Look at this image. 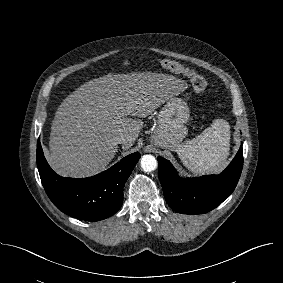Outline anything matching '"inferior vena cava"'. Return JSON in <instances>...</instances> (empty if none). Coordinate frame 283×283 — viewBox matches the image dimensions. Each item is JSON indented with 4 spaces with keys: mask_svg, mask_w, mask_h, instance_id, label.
<instances>
[{
    "mask_svg": "<svg viewBox=\"0 0 283 283\" xmlns=\"http://www.w3.org/2000/svg\"><path fill=\"white\" fill-rule=\"evenodd\" d=\"M115 142L117 144H124L126 142V138L125 136H118L115 138Z\"/></svg>",
    "mask_w": 283,
    "mask_h": 283,
    "instance_id": "inferior-vena-cava-1",
    "label": "inferior vena cava"
}]
</instances>
